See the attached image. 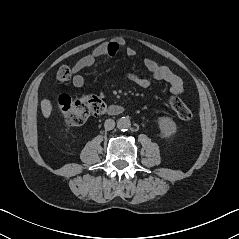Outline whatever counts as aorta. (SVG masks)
I'll use <instances>...</instances> for the list:
<instances>
[{"instance_id": "1", "label": "aorta", "mask_w": 239, "mask_h": 239, "mask_svg": "<svg viewBox=\"0 0 239 239\" xmlns=\"http://www.w3.org/2000/svg\"><path fill=\"white\" fill-rule=\"evenodd\" d=\"M117 127L121 131H127L131 128V121L128 117H121L117 121Z\"/></svg>"}]
</instances>
